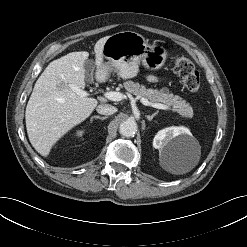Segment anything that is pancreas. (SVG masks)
Listing matches in <instances>:
<instances>
[{
    "label": "pancreas",
    "instance_id": "1",
    "mask_svg": "<svg viewBox=\"0 0 247 247\" xmlns=\"http://www.w3.org/2000/svg\"><path fill=\"white\" fill-rule=\"evenodd\" d=\"M124 88L137 97H143L151 103H163L168 107H172L174 111L179 113L183 118H192L193 109L185 100L178 95L169 93L167 88L160 90L149 88L140 85L138 82L126 81L123 83Z\"/></svg>",
    "mask_w": 247,
    "mask_h": 247
}]
</instances>
